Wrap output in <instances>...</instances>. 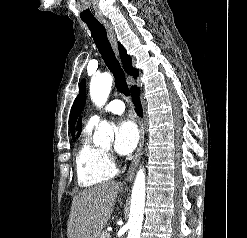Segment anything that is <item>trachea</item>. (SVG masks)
I'll use <instances>...</instances> for the list:
<instances>
[{"label":"trachea","mask_w":247,"mask_h":238,"mask_svg":"<svg viewBox=\"0 0 247 238\" xmlns=\"http://www.w3.org/2000/svg\"><path fill=\"white\" fill-rule=\"evenodd\" d=\"M84 22L90 29L94 43L96 44V47L98 48L106 66L113 73L117 90L124 95L129 96L130 91L125 79L124 71L113 52L105 27L97 20Z\"/></svg>","instance_id":"3493384b"}]
</instances>
